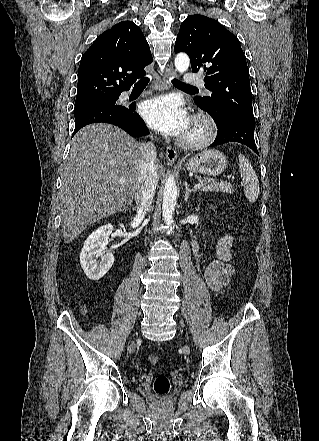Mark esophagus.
Listing matches in <instances>:
<instances>
[{
    "label": "esophagus",
    "instance_id": "obj_1",
    "mask_svg": "<svg viewBox=\"0 0 319 441\" xmlns=\"http://www.w3.org/2000/svg\"><path fill=\"white\" fill-rule=\"evenodd\" d=\"M176 77H177L176 71L172 67H169L167 68V71L163 75V82L167 87H170L172 79ZM166 158L169 163H174L176 161L177 153L176 150L171 146L166 147Z\"/></svg>",
    "mask_w": 319,
    "mask_h": 441
}]
</instances>
